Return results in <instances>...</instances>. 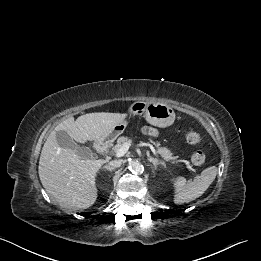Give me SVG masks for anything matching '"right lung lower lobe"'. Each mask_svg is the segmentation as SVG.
Instances as JSON below:
<instances>
[{"mask_svg": "<svg viewBox=\"0 0 261 261\" xmlns=\"http://www.w3.org/2000/svg\"><path fill=\"white\" fill-rule=\"evenodd\" d=\"M90 213H81V215H89Z\"/></svg>", "mask_w": 261, "mask_h": 261, "instance_id": "right-lung-lower-lobe-1", "label": "right lung lower lobe"}]
</instances>
